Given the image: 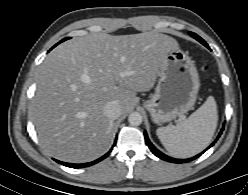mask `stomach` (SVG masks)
Listing matches in <instances>:
<instances>
[{"mask_svg": "<svg viewBox=\"0 0 248 195\" xmlns=\"http://www.w3.org/2000/svg\"><path fill=\"white\" fill-rule=\"evenodd\" d=\"M200 83L194 62L179 47L167 52L155 93L144 103L154 123L169 122L192 109Z\"/></svg>", "mask_w": 248, "mask_h": 195, "instance_id": "obj_1", "label": "stomach"}]
</instances>
